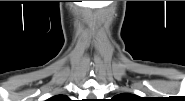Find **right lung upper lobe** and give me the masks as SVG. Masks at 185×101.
<instances>
[{
    "label": "right lung upper lobe",
    "instance_id": "right-lung-upper-lobe-1",
    "mask_svg": "<svg viewBox=\"0 0 185 101\" xmlns=\"http://www.w3.org/2000/svg\"><path fill=\"white\" fill-rule=\"evenodd\" d=\"M50 101H68V97L65 95H57L52 97Z\"/></svg>",
    "mask_w": 185,
    "mask_h": 101
}]
</instances>
